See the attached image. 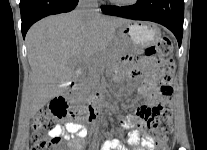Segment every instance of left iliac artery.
<instances>
[{
    "label": "left iliac artery",
    "mask_w": 207,
    "mask_h": 150,
    "mask_svg": "<svg viewBox=\"0 0 207 150\" xmlns=\"http://www.w3.org/2000/svg\"><path fill=\"white\" fill-rule=\"evenodd\" d=\"M111 145L118 147V150H127V148L122 145L119 140H114Z\"/></svg>",
    "instance_id": "left-iliac-artery-1"
}]
</instances>
